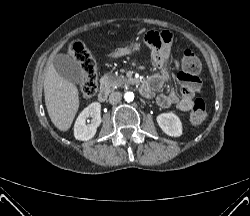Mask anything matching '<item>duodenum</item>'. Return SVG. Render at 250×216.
Segmentation results:
<instances>
[{"instance_id":"1","label":"duodenum","mask_w":250,"mask_h":216,"mask_svg":"<svg viewBox=\"0 0 250 216\" xmlns=\"http://www.w3.org/2000/svg\"><path fill=\"white\" fill-rule=\"evenodd\" d=\"M140 91L145 96H149V94H150L149 88H148V86H147V84L145 82H142L140 84ZM109 93H110L109 87L105 83H102L101 86H100V90H99V94H98V99L101 102L106 101V99L109 96Z\"/></svg>"}]
</instances>
